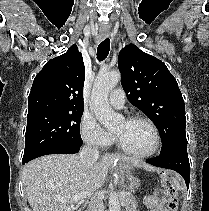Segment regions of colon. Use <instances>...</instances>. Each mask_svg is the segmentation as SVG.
Masks as SVG:
<instances>
[{
  "instance_id": "obj_1",
  "label": "colon",
  "mask_w": 209,
  "mask_h": 211,
  "mask_svg": "<svg viewBox=\"0 0 209 211\" xmlns=\"http://www.w3.org/2000/svg\"><path fill=\"white\" fill-rule=\"evenodd\" d=\"M164 188L168 194L167 207L168 211H177V190L172 181L167 180L164 183Z\"/></svg>"
}]
</instances>
